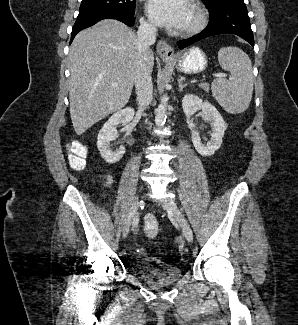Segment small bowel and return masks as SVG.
<instances>
[{"label":"small bowel","instance_id":"obj_1","mask_svg":"<svg viewBox=\"0 0 298 325\" xmlns=\"http://www.w3.org/2000/svg\"><path fill=\"white\" fill-rule=\"evenodd\" d=\"M113 176L111 174H109L106 178V183L107 185H111L113 183Z\"/></svg>","mask_w":298,"mask_h":325}]
</instances>
